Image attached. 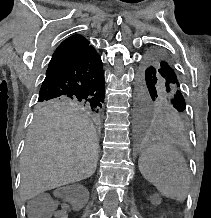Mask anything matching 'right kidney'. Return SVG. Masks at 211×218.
Masks as SVG:
<instances>
[{"label":"right kidney","instance_id":"ca27d5eb","mask_svg":"<svg viewBox=\"0 0 211 218\" xmlns=\"http://www.w3.org/2000/svg\"><path fill=\"white\" fill-rule=\"evenodd\" d=\"M62 211H73V207L62 206ZM62 218H71V216L70 215H63Z\"/></svg>","mask_w":211,"mask_h":218}]
</instances>
